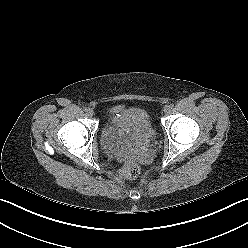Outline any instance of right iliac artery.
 <instances>
[{
    "label": "right iliac artery",
    "instance_id": "1",
    "mask_svg": "<svg viewBox=\"0 0 248 248\" xmlns=\"http://www.w3.org/2000/svg\"><path fill=\"white\" fill-rule=\"evenodd\" d=\"M87 110H88V109H87V107H84V108H83V111H85V112H86Z\"/></svg>",
    "mask_w": 248,
    "mask_h": 248
}]
</instances>
